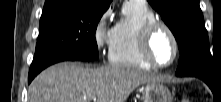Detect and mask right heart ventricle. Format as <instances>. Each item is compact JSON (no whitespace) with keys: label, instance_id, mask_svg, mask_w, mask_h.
<instances>
[{"label":"right heart ventricle","instance_id":"obj_1","mask_svg":"<svg viewBox=\"0 0 221 102\" xmlns=\"http://www.w3.org/2000/svg\"><path fill=\"white\" fill-rule=\"evenodd\" d=\"M156 20L154 12L145 2L125 1L121 16L113 28L109 48V61L120 67L150 70L139 50V34L143 26Z\"/></svg>","mask_w":221,"mask_h":102}]
</instances>
